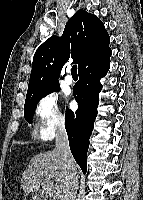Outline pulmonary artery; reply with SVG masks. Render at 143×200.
<instances>
[{
	"instance_id": "pulmonary-artery-1",
	"label": "pulmonary artery",
	"mask_w": 143,
	"mask_h": 200,
	"mask_svg": "<svg viewBox=\"0 0 143 200\" xmlns=\"http://www.w3.org/2000/svg\"><path fill=\"white\" fill-rule=\"evenodd\" d=\"M64 81H65V83L66 84H68V85H71V84H73V78H72V76L70 75V74H67L66 76H65V79H64Z\"/></svg>"
}]
</instances>
